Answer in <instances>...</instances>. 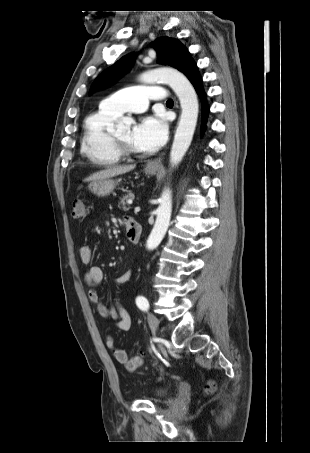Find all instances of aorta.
I'll use <instances>...</instances> for the list:
<instances>
[{
	"label": "aorta",
	"mask_w": 310,
	"mask_h": 453,
	"mask_svg": "<svg viewBox=\"0 0 310 453\" xmlns=\"http://www.w3.org/2000/svg\"><path fill=\"white\" fill-rule=\"evenodd\" d=\"M140 80L144 83L164 82L168 84L180 101L182 112L170 152V163L173 167L177 166L191 144L197 124L199 105L195 89L182 73L168 67L147 71L141 75ZM132 122V118L123 117L116 126L117 130L121 131L129 127ZM171 212V191L165 190L156 210L157 217L147 240V249H155L164 238L169 226Z\"/></svg>",
	"instance_id": "1"
}]
</instances>
